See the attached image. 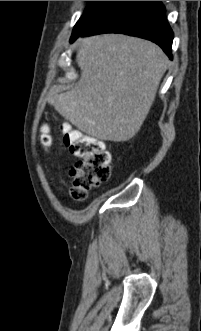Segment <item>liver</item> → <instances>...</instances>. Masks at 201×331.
Returning <instances> with one entry per match:
<instances>
[{
    "mask_svg": "<svg viewBox=\"0 0 201 331\" xmlns=\"http://www.w3.org/2000/svg\"><path fill=\"white\" fill-rule=\"evenodd\" d=\"M81 77L49 102L80 131L104 141H128L140 130L169 60L153 42L122 34L80 38Z\"/></svg>",
    "mask_w": 201,
    "mask_h": 331,
    "instance_id": "1",
    "label": "liver"
}]
</instances>
